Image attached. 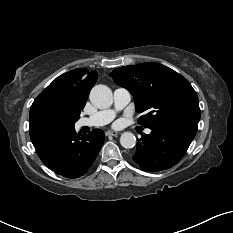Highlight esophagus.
<instances>
[{
    "label": "esophagus",
    "instance_id": "34e87169",
    "mask_svg": "<svg viewBox=\"0 0 233 233\" xmlns=\"http://www.w3.org/2000/svg\"><path fill=\"white\" fill-rule=\"evenodd\" d=\"M118 135V132L117 131H107L106 132V136H109V137H111V136H117Z\"/></svg>",
    "mask_w": 233,
    "mask_h": 233
}]
</instances>
